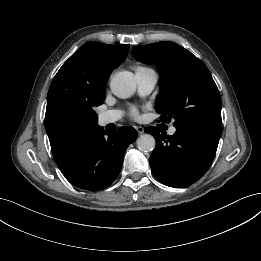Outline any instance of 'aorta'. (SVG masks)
Wrapping results in <instances>:
<instances>
[{
    "mask_svg": "<svg viewBox=\"0 0 261 261\" xmlns=\"http://www.w3.org/2000/svg\"><path fill=\"white\" fill-rule=\"evenodd\" d=\"M112 93L119 98H129L136 90L134 75L128 71L115 74L110 81ZM156 145L155 139L150 134H142L137 139V147L142 152H151Z\"/></svg>",
    "mask_w": 261,
    "mask_h": 261,
    "instance_id": "762f6f07",
    "label": "aorta"
}]
</instances>
